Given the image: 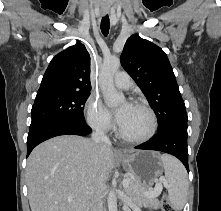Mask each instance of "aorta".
Returning a JSON list of instances; mask_svg holds the SVG:
<instances>
[{
  "label": "aorta",
  "instance_id": "aorta-1",
  "mask_svg": "<svg viewBox=\"0 0 221 211\" xmlns=\"http://www.w3.org/2000/svg\"><path fill=\"white\" fill-rule=\"evenodd\" d=\"M120 67V59L111 57L105 59L99 74V84L102 90L105 103L109 107H115L125 101L123 93L118 92L114 86V75ZM109 211H117V198L114 191L108 195Z\"/></svg>",
  "mask_w": 221,
  "mask_h": 211
}]
</instances>
